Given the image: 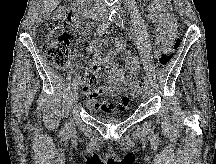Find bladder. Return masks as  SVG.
<instances>
[{
	"label": "bladder",
	"instance_id": "obj_1",
	"mask_svg": "<svg viewBox=\"0 0 216 164\" xmlns=\"http://www.w3.org/2000/svg\"><path fill=\"white\" fill-rule=\"evenodd\" d=\"M100 120L104 123H117L121 121V118H116V117H104V118H100Z\"/></svg>",
	"mask_w": 216,
	"mask_h": 164
}]
</instances>
